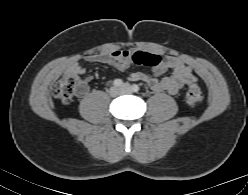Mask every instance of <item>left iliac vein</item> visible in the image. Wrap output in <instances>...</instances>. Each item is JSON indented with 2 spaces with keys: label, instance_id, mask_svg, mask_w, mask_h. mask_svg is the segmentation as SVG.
<instances>
[{
  "label": "left iliac vein",
  "instance_id": "4c4485c4",
  "mask_svg": "<svg viewBox=\"0 0 248 195\" xmlns=\"http://www.w3.org/2000/svg\"><path fill=\"white\" fill-rule=\"evenodd\" d=\"M121 91L129 93L130 91H132V88L129 84H124L121 88Z\"/></svg>",
  "mask_w": 248,
  "mask_h": 195
}]
</instances>
